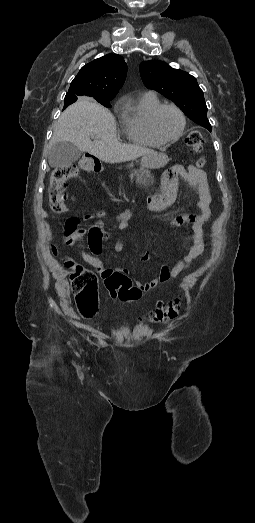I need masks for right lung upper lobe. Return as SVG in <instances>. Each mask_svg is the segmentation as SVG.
I'll return each instance as SVG.
<instances>
[{
    "label": "right lung upper lobe",
    "instance_id": "cb5924a9",
    "mask_svg": "<svg viewBox=\"0 0 255 523\" xmlns=\"http://www.w3.org/2000/svg\"><path fill=\"white\" fill-rule=\"evenodd\" d=\"M126 75L127 65L120 55L108 54L86 64L71 82L63 110L79 97L90 101L112 100L123 86Z\"/></svg>",
    "mask_w": 255,
    "mask_h": 523
}]
</instances>
